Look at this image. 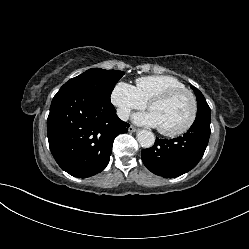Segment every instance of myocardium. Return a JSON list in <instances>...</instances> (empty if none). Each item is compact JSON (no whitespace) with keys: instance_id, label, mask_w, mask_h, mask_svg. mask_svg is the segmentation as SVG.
Instances as JSON below:
<instances>
[{"instance_id":"1","label":"myocardium","mask_w":249,"mask_h":249,"mask_svg":"<svg viewBox=\"0 0 249 249\" xmlns=\"http://www.w3.org/2000/svg\"><path fill=\"white\" fill-rule=\"evenodd\" d=\"M180 95H187L190 100H191V114L189 117V120L187 121V123L181 127L180 129L177 130H173V131H168V130H164L162 128H159V132L165 136L168 137H177L180 135L185 134L186 132H188L191 127L194 125L196 118H197V113H198V102L196 99V96L194 95L193 92H191L190 90L186 89V88H182V89H173V90H169L167 92H164L160 95L155 96L154 98H152L148 104L149 109L151 110V108L158 104V103H163V102H167L172 100L173 98L180 96Z\"/></svg>"}]
</instances>
